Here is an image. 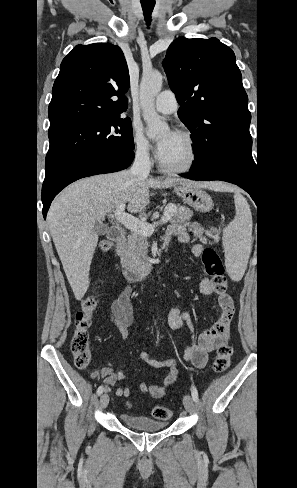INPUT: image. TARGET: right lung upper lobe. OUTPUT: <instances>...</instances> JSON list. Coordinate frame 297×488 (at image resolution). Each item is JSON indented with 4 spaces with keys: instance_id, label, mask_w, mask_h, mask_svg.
Segmentation results:
<instances>
[{
    "instance_id": "cb5924a9",
    "label": "right lung upper lobe",
    "mask_w": 297,
    "mask_h": 488,
    "mask_svg": "<svg viewBox=\"0 0 297 488\" xmlns=\"http://www.w3.org/2000/svg\"><path fill=\"white\" fill-rule=\"evenodd\" d=\"M60 67L48 108V133L117 117L127 109L124 94L129 88V73L118 46L109 43L77 45Z\"/></svg>"
}]
</instances>
